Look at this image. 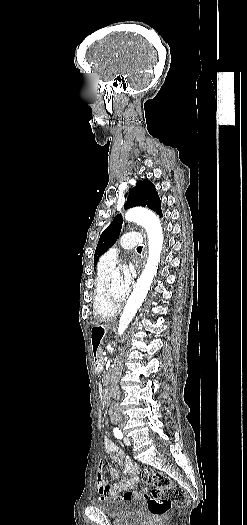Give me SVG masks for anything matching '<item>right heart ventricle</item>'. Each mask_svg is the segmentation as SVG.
<instances>
[{"label":"right heart ventricle","mask_w":247,"mask_h":525,"mask_svg":"<svg viewBox=\"0 0 247 525\" xmlns=\"http://www.w3.org/2000/svg\"><path fill=\"white\" fill-rule=\"evenodd\" d=\"M113 266L105 264V254L102 255L98 264V272L96 277L95 290L93 294V314L94 317H115L117 306H108L106 304V294L104 291V283L107 278L112 275Z\"/></svg>","instance_id":"obj_1"}]
</instances>
